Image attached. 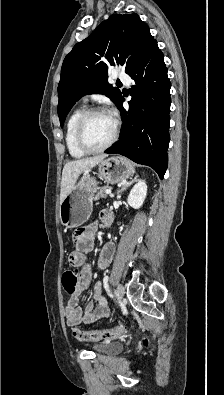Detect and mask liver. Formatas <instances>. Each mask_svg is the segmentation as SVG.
<instances>
[{
	"label": "liver",
	"instance_id": "obj_1",
	"mask_svg": "<svg viewBox=\"0 0 224 395\" xmlns=\"http://www.w3.org/2000/svg\"><path fill=\"white\" fill-rule=\"evenodd\" d=\"M107 157L106 154L87 157L83 159L74 160L65 164L62 172L60 203L74 188L79 175L97 164Z\"/></svg>",
	"mask_w": 224,
	"mask_h": 395
}]
</instances>
